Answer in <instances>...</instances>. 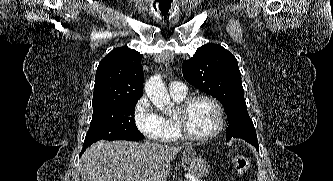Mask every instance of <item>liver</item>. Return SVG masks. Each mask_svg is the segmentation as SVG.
<instances>
[{
  "instance_id": "6515ba94",
  "label": "liver",
  "mask_w": 333,
  "mask_h": 181,
  "mask_svg": "<svg viewBox=\"0 0 333 181\" xmlns=\"http://www.w3.org/2000/svg\"><path fill=\"white\" fill-rule=\"evenodd\" d=\"M192 149L186 147V150ZM181 147L101 140L80 159L82 181H166Z\"/></svg>"
}]
</instances>
